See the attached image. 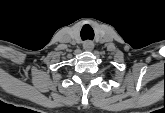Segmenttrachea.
Here are the masks:
<instances>
[{"label": "trachea", "instance_id": "trachea-1", "mask_svg": "<svg viewBox=\"0 0 165 113\" xmlns=\"http://www.w3.org/2000/svg\"><path fill=\"white\" fill-rule=\"evenodd\" d=\"M80 35H81L82 40H87V39L93 40L94 31L90 25L86 24L82 27Z\"/></svg>", "mask_w": 165, "mask_h": 113}]
</instances>
